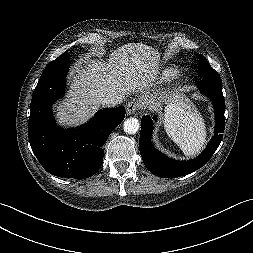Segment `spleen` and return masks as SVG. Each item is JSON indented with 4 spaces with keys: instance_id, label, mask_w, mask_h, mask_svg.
I'll return each mask as SVG.
<instances>
[{
    "instance_id": "3e777b00",
    "label": "spleen",
    "mask_w": 253,
    "mask_h": 253,
    "mask_svg": "<svg viewBox=\"0 0 253 253\" xmlns=\"http://www.w3.org/2000/svg\"><path fill=\"white\" fill-rule=\"evenodd\" d=\"M165 130L186 156L200 152L206 142L204 119L197 109L177 107L166 112Z\"/></svg>"
}]
</instances>
